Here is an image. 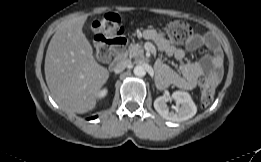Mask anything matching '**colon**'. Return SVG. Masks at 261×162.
Wrapping results in <instances>:
<instances>
[{
	"mask_svg": "<svg viewBox=\"0 0 261 162\" xmlns=\"http://www.w3.org/2000/svg\"><path fill=\"white\" fill-rule=\"evenodd\" d=\"M95 33V54L101 60L111 57V46L126 42L125 29L121 24L119 15L105 14L94 21L92 25ZM168 37L175 43L183 44L192 41L196 29L183 20H171L165 28ZM217 81L211 77H203L199 82L201 100L204 105L212 102Z\"/></svg>",
	"mask_w": 261,
	"mask_h": 162,
	"instance_id": "5ec220e1",
	"label": "colon"
}]
</instances>
